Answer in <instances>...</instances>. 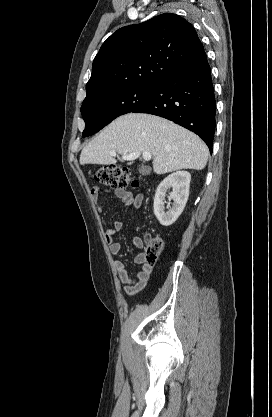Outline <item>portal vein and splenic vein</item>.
<instances>
[{
  "instance_id": "obj_1",
  "label": "portal vein and splenic vein",
  "mask_w": 272,
  "mask_h": 417,
  "mask_svg": "<svg viewBox=\"0 0 272 417\" xmlns=\"http://www.w3.org/2000/svg\"><path fill=\"white\" fill-rule=\"evenodd\" d=\"M140 154H141L140 152H134V153H131V154H124L122 156V159H124V160H134V159H137L140 156ZM110 155L115 157L116 152L112 150V151H110ZM142 157H143L144 160H150L152 156H151L150 152H143Z\"/></svg>"
}]
</instances>
